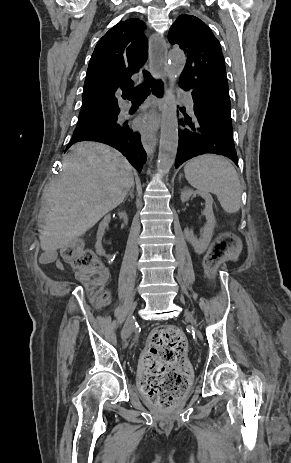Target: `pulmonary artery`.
I'll return each mask as SVG.
<instances>
[{"instance_id":"e3ab8cb5","label":"pulmonary artery","mask_w":291,"mask_h":463,"mask_svg":"<svg viewBox=\"0 0 291 463\" xmlns=\"http://www.w3.org/2000/svg\"><path fill=\"white\" fill-rule=\"evenodd\" d=\"M176 93H177V95L184 101V103H185L186 106H187L188 111H189L191 114H193V111H194V110H193V100H192V98H191L188 94H186L185 92H182V91H179V90H177ZM129 108H130V104H129V103L123 102V103L121 104V109H122V111H127Z\"/></svg>"}]
</instances>
